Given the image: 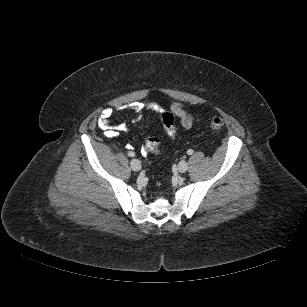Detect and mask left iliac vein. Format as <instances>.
<instances>
[{
	"mask_svg": "<svg viewBox=\"0 0 307 307\" xmlns=\"http://www.w3.org/2000/svg\"><path fill=\"white\" fill-rule=\"evenodd\" d=\"M188 169V163L185 160H182L178 164V171L180 173H185Z\"/></svg>",
	"mask_w": 307,
	"mask_h": 307,
	"instance_id": "left-iliac-vein-1",
	"label": "left iliac vein"
}]
</instances>
